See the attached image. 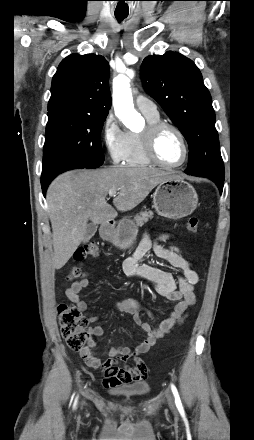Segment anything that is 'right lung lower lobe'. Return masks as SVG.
<instances>
[{"instance_id":"98d812e1","label":"right lung lower lobe","mask_w":254,"mask_h":440,"mask_svg":"<svg viewBox=\"0 0 254 440\" xmlns=\"http://www.w3.org/2000/svg\"><path fill=\"white\" fill-rule=\"evenodd\" d=\"M49 183H50V182H41V185H42V191H43V195H44V196H45V194H46V189H47Z\"/></svg>"}]
</instances>
